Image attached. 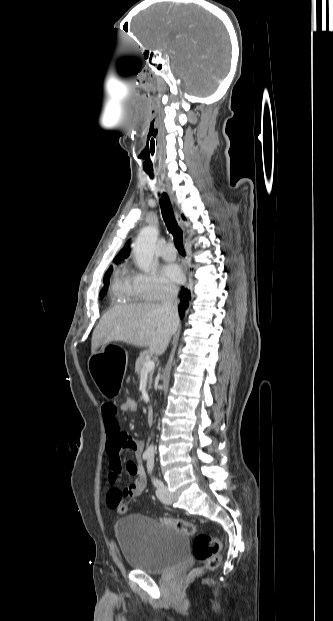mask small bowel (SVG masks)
Here are the masks:
<instances>
[{
    "instance_id": "c3829d8e",
    "label": "small bowel",
    "mask_w": 333,
    "mask_h": 621,
    "mask_svg": "<svg viewBox=\"0 0 333 621\" xmlns=\"http://www.w3.org/2000/svg\"><path fill=\"white\" fill-rule=\"evenodd\" d=\"M101 413L108 438L106 445V450L109 455V489L107 492V504L109 507L115 509L117 505L123 503L125 499L140 495L146 487L147 479L141 465L144 443L120 429L117 420L118 407L115 404L109 402L103 403L101 406ZM124 449L131 450L135 454L136 461H128L123 465L120 453ZM122 473H126L133 478V481L125 487H120L118 485V480Z\"/></svg>"
}]
</instances>
